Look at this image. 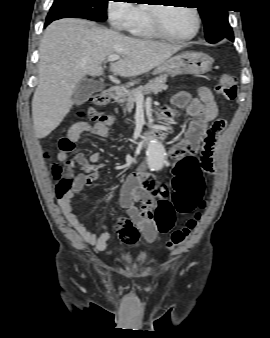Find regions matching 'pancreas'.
<instances>
[{"mask_svg":"<svg viewBox=\"0 0 270 338\" xmlns=\"http://www.w3.org/2000/svg\"><path fill=\"white\" fill-rule=\"evenodd\" d=\"M167 80L166 76H159L155 79L149 81V83L145 87H138L133 90H126L124 92L121 103L126 105L124 112H131L134 108V104L137 101V94L141 93L143 95H148L151 93L158 94L167 89V85L165 84Z\"/></svg>","mask_w":270,"mask_h":338,"instance_id":"1","label":"pancreas"}]
</instances>
